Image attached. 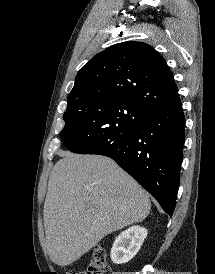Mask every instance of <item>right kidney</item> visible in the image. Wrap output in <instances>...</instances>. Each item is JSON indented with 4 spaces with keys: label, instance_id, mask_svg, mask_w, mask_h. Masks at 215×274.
I'll use <instances>...</instances> for the list:
<instances>
[{
    "label": "right kidney",
    "instance_id": "1",
    "mask_svg": "<svg viewBox=\"0 0 215 274\" xmlns=\"http://www.w3.org/2000/svg\"><path fill=\"white\" fill-rule=\"evenodd\" d=\"M147 230L140 226H132L119 234L111 249V259L114 264L130 261L139 251Z\"/></svg>",
    "mask_w": 215,
    "mask_h": 274
}]
</instances>
